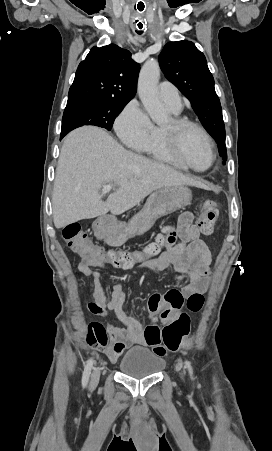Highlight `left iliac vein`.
<instances>
[{
	"label": "left iliac vein",
	"instance_id": "4c4485c4",
	"mask_svg": "<svg viewBox=\"0 0 272 451\" xmlns=\"http://www.w3.org/2000/svg\"><path fill=\"white\" fill-rule=\"evenodd\" d=\"M177 370H180V367H177ZM181 378H182V380H184L183 373H181Z\"/></svg>",
	"mask_w": 272,
	"mask_h": 451
}]
</instances>
